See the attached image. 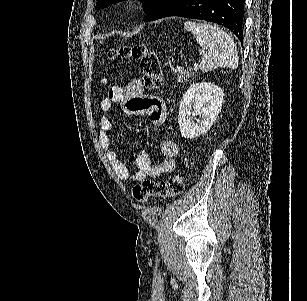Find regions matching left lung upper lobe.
I'll return each instance as SVG.
<instances>
[{"label":"left lung upper lobe","mask_w":307,"mask_h":301,"mask_svg":"<svg viewBox=\"0 0 307 301\" xmlns=\"http://www.w3.org/2000/svg\"><path fill=\"white\" fill-rule=\"evenodd\" d=\"M122 0H98L96 4V9L106 7L112 3L119 2ZM143 2L144 10L147 12L145 21L156 20L162 12L173 4L176 0H140Z\"/></svg>","instance_id":"5c2ea615"}]
</instances>
